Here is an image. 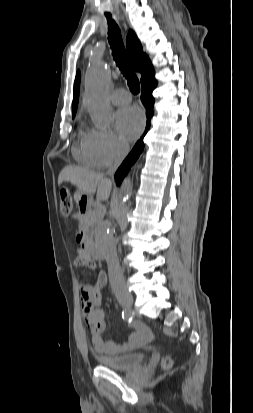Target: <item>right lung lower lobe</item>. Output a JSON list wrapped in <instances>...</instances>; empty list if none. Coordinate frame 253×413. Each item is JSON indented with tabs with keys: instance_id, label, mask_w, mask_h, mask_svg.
Listing matches in <instances>:
<instances>
[{
	"instance_id": "obj_1",
	"label": "right lung lower lobe",
	"mask_w": 253,
	"mask_h": 413,
	"mask_svg": "<svg viewBox=\"0 0 253 413\" xmlns=\"http://www.w3.org/2000/svg\"><path fill=\"white\" fill-rule=\"evenodd\" d=\"M141 85H142L141 100H142L143 105L146 108V115H147L146 129H145L143 136L136 143L132 151L129 153V155L126 157V159L123 161V163L117 170L115 174V180H116L117 185L121 184L123 178L126 176L131 166L136 162L140 153L143 151L144 149L143 137L147 133L150 127V120L153 116L152 108L154 105V98L152 97V91L157 85V81L154 79V74L144 78L141 81Z\"/></svg>"
}]
</instances>
